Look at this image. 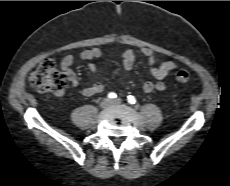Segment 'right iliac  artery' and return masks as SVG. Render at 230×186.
<instances>
[{
    "label": "right iliac artery",
    "instance_id": "obj_1",
    "mask_svg": "<svg viewBox=\"0 0 230 186\" xmlns=\"http://www.w3.org/2000/svg\"><path fill=\"white\" fill-rule=\"evenodd\" d=\"M117 97V95L114 93V92H110L109 94H108V98L109 99H114V98H116Z\"/></svg>",
    "mask_w": 230,
    "mask_h": 186
}]
</instances>
